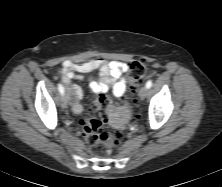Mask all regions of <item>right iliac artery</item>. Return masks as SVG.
<instances>
[{"instance_id":"1","label":"right iliac artery","mask_w":222,"mask_h":187,"mask_svg":"<svg viewBox=\"0 0 222 187\" xmlns=\"http://www.w3.org/2000/svg\"><path fill=\"white\" fill-rule=\"evenodd\" d=\"M58 90L60 92V94H64V87L62 86V84H58Z\"/></svg>"}]
</instances>
